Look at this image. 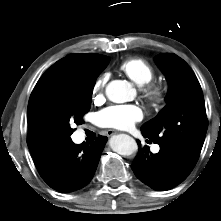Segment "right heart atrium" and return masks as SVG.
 I'll return each mask as SVG.
<instances>
[{
  "mask_svg": "<svg viewBox=\"0 0 221 221\" xmlns=\"http://www.w3.org/2000/svg\"><path fill=\"white\" fill-rule=\"evenodd\" d=\"M106 80L105 76H101L94 82L92 92L95 99H101L103 97Z\"/></svg>",
  "mask_w": 221,
  "mask_h": 221,
  "instance_id": "1",
  "label": "right heart atrium"
}]
</instances>
